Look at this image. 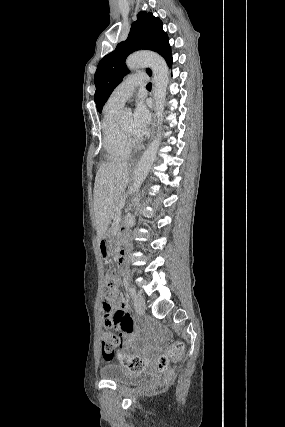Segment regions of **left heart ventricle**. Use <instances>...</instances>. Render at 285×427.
Returning a JSON list of instances; mask_svg holds the SVG:
<instances>
[{"mask_svg": "<svg viewBox=\"0 0 285 427\" xmlns=\"http://www.w3.org/2000/svg\"><path fill=\"white\" fill-rule=\"evenodd\" d=\"M123 128L132 135L133 129V118L131 116H125L120 120Z\"/></svg>", "mask_w": 285, "mask_h": 427, "instance_id": "obj_1", "label": "left heart ventricle"}]
</instances>
